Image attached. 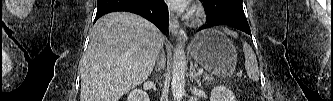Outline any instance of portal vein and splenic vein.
<instances>
[{
	"label": "portal vein and splenic vein",
	"mask_w": 333,
	"mask_h": 101,
	"mask_svg": "<svg viewBox=\"0 0 333 101\" xmlns=\"http://www.w3.org/2000/svg\"><path fill=\"white\" fill-rule=\"evenodd\" d=\"M203 73V69L200 71V74H202Z\"/></svg>",
	"instance_id": "portal-vein-and-splenic-vein-1"
}]
</instances>
